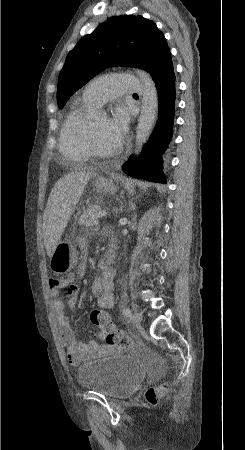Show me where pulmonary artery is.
Listing matches in <instances>:
<instances>
[{
	"label": "pulmonary artery",
	"instance_id": "obj_1",
	"mask_svg": "<svg viewBox=\"0 0 245 450\" xmlns=\"http://www.w3.org/2000/svg\"><path fill=\"white\" fill-rule=\"evenodd\" d=\"M142 82L139 78L129 74L105 75L88 83L83 95L95 105H102L106 101L121 95L140 93Z\"/></svg>",
	"mask_w": 245,
	"mask_h": 450
}]
</instances>
